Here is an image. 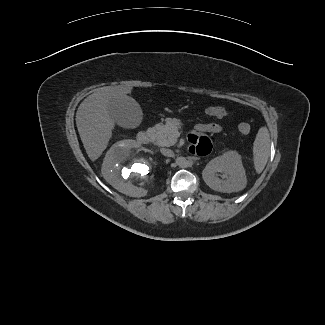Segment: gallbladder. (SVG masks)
I'll list each match as a JSON object with an SVG mask.
<instances>
[{
	"label": "gallbladder",
	"mask_w": 325,
	"mask_h": 325,
	"mask_svg": "<svg viewBox=\"0 0 325 325\" xmlns=\"http://www.w3.org/2000/svg\"><path fill=\"white\" fill-rule=\"evenodd\" d=\"M108 111L114 122L124 128H135L142 120L141 107L131 98H117L111 101Z\"/></svg>",
	"instance_id": "obj_1"
}]
</instances>
